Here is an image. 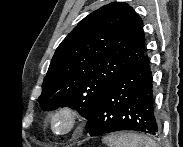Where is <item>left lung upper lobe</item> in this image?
<instances>
[{"label": "left lung upper lobe", "instance_id": "5c2ea615", "mask_svg": "<svg viewBox=\"0 0 183 147\" xmlns=\"http://www.w3.org/2000/svg\"><path fill=\"white\" fill-rule=\"evenodd\" d=\"M144 53L142 19L126 3L107 4L58 46L38 101L44 110L69 106L88 119L106 89Z\"/></svg>", "mask_w": 183, "mask_h": 147}]
</instances>
